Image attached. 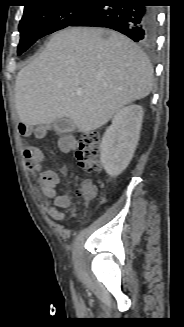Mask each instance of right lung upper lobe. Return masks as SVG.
Returning <instances> with one entry per match:
<instances>
[{
  "mask_svg": "<svg viewBox=\"0 0 184 327\" xmlns=\"http://www.w3.org/2000/svg\"><path fill=\"white\" fill-rule=\"evenodd\" d=\"M28 3H31L29 5H26L25 8H27L28 6L35 4V3H39V2H43V1H47V0H26Z\"/></svg>",
  "mask_w": 184,
  "mask_h": 327,
  "instance_id": "obj_1",
  "label": "right lung upper lobe"
}]
</instances>
